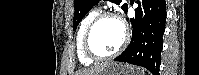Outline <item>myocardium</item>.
I'll list each match as a JSON object with an SVG mask.
<instances>
[{
	"mask_svg": "<svg viewBox=\"0 0 199 75\" xmlns=\"http://www.w3.org/2000/svg\"><path fill=\"white\" fill-rule=\"evenodd\" d=\"M104 19H113L121 25V27L123 29V39H122L120 45L113 52H111L107 55H99L91 49L90 38H91L94 28L97 26V24L100 21H102ZM128 41H129V30H128V27L126 26V24L124 23V21L118 15H116L114 13L102 12V13L97 14L92 19L90 24L87 26V28L84 32V35H83L82 45H83V51L88 58H90L94 61H102V60L113 58V57L117 56L119 53H121L123 51V49L126 47Z\"/></svg>",
	"mask_w": 199,
	"mask_h": 75,
	"instance_id": "obj_1",
	"label": "myocardium"
}]
</instances>
